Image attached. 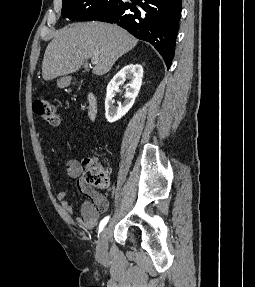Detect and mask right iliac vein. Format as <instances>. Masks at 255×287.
<instances>
[{"label": "right iliac vein", "mask_w": 255, "mask_h": 287, "mask_svg": "<svg viewBox=\"0 0 255 287\" xmlns=\"http://www.w3.org/2000/svg\"><path fill=\"white\" fill-rule=\"evenodd\" d=\"M110 230L108 227L104 228L103 232L100 235L98 244L96 247L97 258L104 262L108 258V240H109Z\"/></svg>", "instance_id": "right-iliac-vein-1"}]
</instances>
